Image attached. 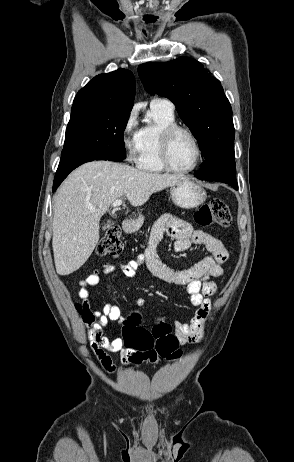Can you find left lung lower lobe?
<instances>
[{
	"label": "left lung lower lobe",
	"instance_id": "left-lung-lower-lobe-1",
	"mask_svg": "<svg viewBox=\"0 0 294 462\" xmlns=\"http://www.w3.org/2000/svg\"><path fill=\"white\" fill-rule=\"evenodd\" d=\"M235 169L234 157L210 159L202 164L201 170L195 174V177L202 180L224 182L238 190Z\"/></svg>",
	"mask_w": 294,
	"mask_h": 462
}]
</instances>
